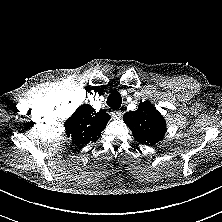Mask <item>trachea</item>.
<instances>
[{"label":"trachea","instance_id":"3493384b","mask_svg":"<svg viewBox=\"0 0 222 222\" xmlns=\"http://www.w3.org/2000/svg\"><path fill=\"white\" fill-rule=\"evenodd\" d=\"M121 103H122V97H121L120 93L116 90L112 91L110 93V95L108 96L107 105L110 108L116 110V109L120 108Z\"/></svg>","mask_w":222,"mask_h":222}]
</instances>
